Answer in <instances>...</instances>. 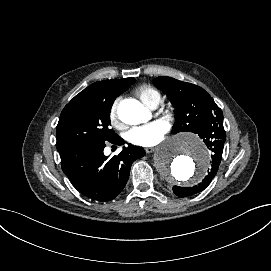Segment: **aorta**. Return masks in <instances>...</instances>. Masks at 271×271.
Instances as JSON below:
<instances>
[{
	"label": "aorta",
	"instance_id": "762f6f07",
	"mask_svg": "<svg viewBox=\"0 0 271 271\" xmlns=\"http://www.w3.org/2000/svg\"><path fill=\"white\" fill-rule=\"evenodd\" d=\"M119 119L126 124H138L147 110L137 100H124L118 106ZM154 163L159 174L170 183L193 185L209 167L207 148L195 136L181 135L166 141L156 152Z\"/></svg>",
	"mask_w": 271,
	"mask_h": 271
}]
</instances>
